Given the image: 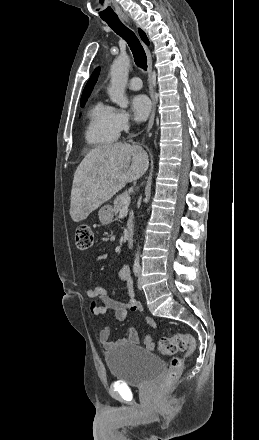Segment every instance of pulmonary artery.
Instances as JSON below:
<instances>
[{
    "label": "pulmonary artery",
    "instance_id": "obj_1",
    "mask_svg": "<svg viewBox=\"0 0 259 440\" xmlns=\"http://www.w3.org/2000/svg\"><path fill=\"white\" fill-rule=\"evenodd\" d=\"M128 87L131 90H139V89H141L142 88V81H141V79L139 77H136V76L132 77L129 80Z\"/></svg>",
    "mask_w": 259,
    "mask_h": 440
}]
</instances>
